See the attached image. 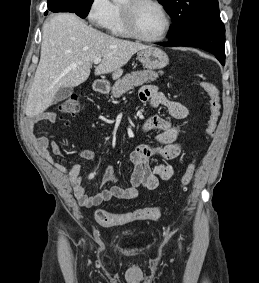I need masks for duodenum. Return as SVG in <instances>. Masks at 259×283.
<instances>
[{
    "label": "duodenum",
    "instance_id": "obj_1",
    "mask_svg": "<svg viewBox=\"0 0 259 283\" xmlns=\"http://www.w3.org/2000/svg\"><path fill=\"white\" fill-rule=\"evenodd\" d=\"M109 89V85L103 80H96L94 82V90L99 94H105Z\"/></svg>",
    "mask_w": 259,
    "mask_h": 283
}]
</instances>
